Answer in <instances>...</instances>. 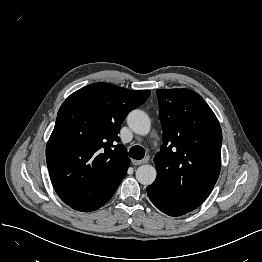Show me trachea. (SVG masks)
I'll return each instance as SVG.
<instances>
[{
  "label": "trachea",
  "mask_w": 262,
  "mask_h": 262,
  "mask_svg": "<svg viewBox=\"0 0 262 262\" xmlns=\"http://www.w3.org/2000/svg\"><path fill=\"white\" fill-rule=\"evenodd\" d=\"M129 156L141 160L145 156V150L141 146H133L129 151Z\"/></svg>",
  "instance_id": "obj_1"
}]
</instances>
